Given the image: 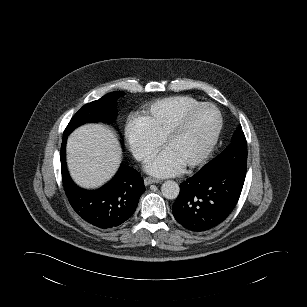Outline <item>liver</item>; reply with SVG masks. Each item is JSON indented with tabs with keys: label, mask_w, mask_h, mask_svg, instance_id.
<instances>
[{
	"label": "liver",
	"mask_w": 307,
	"mask_h": 307,
	"mask_svg": "<svg viewBox=\"0 0 307 307\" xmlns=\"http://www.w3.org/2000/svg\"><path fill=\"white\" fill-rule=\"evenodd\" d=\"M121 147L113 132L100 124L76 129L67 141V163L73 180L85 188L101 186L117 171Z\"/></svg>",
	"instance_id": "6515ba94"
}]
</instances>
